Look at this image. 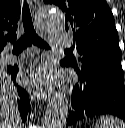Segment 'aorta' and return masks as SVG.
<instances>
[{"instance_id":"obj_1","label":"aorta","mask_w":125,"mask_h":128,"mask_svg":"<svg viewBox=\"0 0 125 128\" xmlns=\"http://www.w3.org/2000/svg\"><path fill=\"white\" fill-rule=\"evenodd\" d=\"M37 23L47 32H59L64 29V14L57 6L44 5L37 12ZM68 114L69 100L59 91L54 95L45 112L43 128H65Z\"/></svg>"}]
</instances>
